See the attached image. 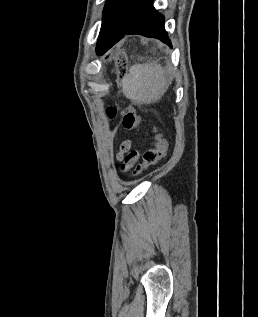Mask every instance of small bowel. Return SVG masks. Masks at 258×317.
<instances>
[{
	"label": "small bowel",
	"instance_id": "small-bowel-1",
	"mask_svg": "<svg viewBox=\"0 0 258 317\" xmlns=\"http://www.w3.org/2000/svg\"><path fill=\"white\" fill-rule=\"evenodd\" d=\"M140 154L137 150L132 149L130 141H124L116 155L118 162L121 164L123 171L131 168L134 163L138 160Z\"/></svg>",
	"mask_w": 258,
	"mask_h": 317
}]
</instances>
